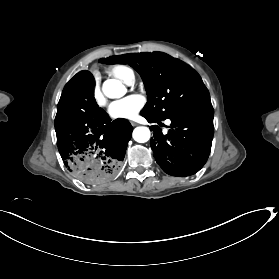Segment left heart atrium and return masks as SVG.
<instances>
[{
	"instance_id": "left-heart-atrium-1",
	"label": "left heart atrium",
	"mask_w": 279,
	"mask_h": 279,
	"mask_svg": "<svg viewBox=\"0 0 279 279\" xmlns=\"http://www.w3.org/2000/svg\"><path fill=\"white\" fill-rule=\"evenodd\" d=\"M144 106V99L139 95H129L113 102L108 108V114L113 119H134Z\"/></svg>"
}]
</instances>
